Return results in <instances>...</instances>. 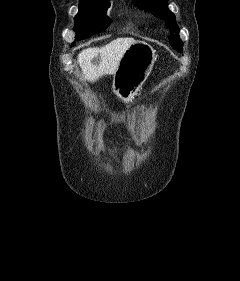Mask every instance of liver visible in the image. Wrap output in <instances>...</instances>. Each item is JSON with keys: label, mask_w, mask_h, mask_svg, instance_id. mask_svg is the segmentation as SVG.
Masks as SVG:
<instances>
[{"label": "liver", "mask_w": 240, "mask_h": 281, "mask_svg": "<svg viewBox=\"0 0 240 281\" xmlns=\"http://www.w3.org/2000/svg\"><path fill=\"white\" fill-rule=\"evenodd\" d=\"M133 42V38H117L102 47L82 50L78 55V63L83 79L94 83L105 75L115 74L122 56Z\"/></svg>", "instance_id": "liver-1"}]
</instances>
